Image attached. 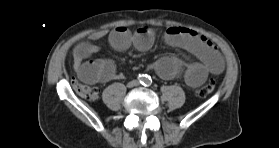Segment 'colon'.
<instances>
[{
    "instance_id": "5ec220e1",
    "label": "colon",
    "mask_w": 279,
    "mask_h": 148,
    "mask_svg": "<svg viewBox=\"0 0 279 148\" xmlns=\"http://www.w3.org/2000/svg\"><path fill=\"white\" fill-rule=\"evenodd\" d=\"M74 88L76 92L83 98L94 101L98 97V91L96 88L78 83L77 81L73 82ZM215 88V83L213 80H209L205 85H203L199 90H198V96L200 97H205L209 95L210 93L213 92Z\"/></svg>"
}]
</instances>
